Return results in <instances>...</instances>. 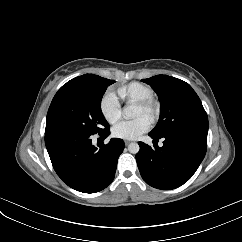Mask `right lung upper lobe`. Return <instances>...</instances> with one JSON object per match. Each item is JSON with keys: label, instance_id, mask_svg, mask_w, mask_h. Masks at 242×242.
<instances>
[{"label": "right lung upper lobe", "instance_id": "obj_1", "mask_svg": "<svg viewBox=\"0 0 242 242\" xmlns=\"http://www.w3.org/2000/svg\"><path fill=\"white\" fill-rule=\"evenodd\" d=\"M100 76L94 75V74H85L76 78H73L72 80L68 81L67 84H91L94 83L99 79Z\"/></svg>", "mask_w": 242, "mask_h": 242}]
</instances>
